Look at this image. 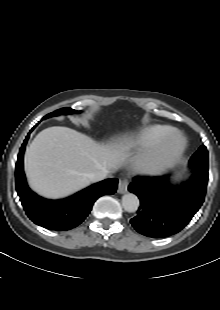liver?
<instances>
[{"mask_svg": "<svg viewBox=\"0 0 220 310\" xmlns=\"http://www.w3.org/2000/svg\"><path fill=\"white\" fill-rule=\"evenodd\" d=\"M127 150L123 142L99 144L76 130L49 127L27 148L25 172L34 191L47 198H62L90 185L88 174L118 169Z\"/></svg>", "mask_w": 220, "mask_h": 310, "instance_id": "obj_1", "label": "liver"}]
</instances>
